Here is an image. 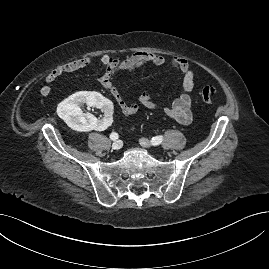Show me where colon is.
Masks as SVG:
<instances>
[{
	"mask_svg": "<svg viewBox=\"0 0 269 269\" xmlns=\"http://www.w3.org/2000/svg\"><path fill=\"white\" fill-rule=\"evenodd\" d=\"M214 89L212 87L206 86L203 87L200 91V99L206 104L213 102Z\"/></svg>",
	"mask_w": 269,
	"mask_h": 269,
	"instance_id": "1",
	"label": "colon"
}]
</instances>
